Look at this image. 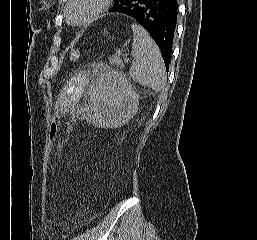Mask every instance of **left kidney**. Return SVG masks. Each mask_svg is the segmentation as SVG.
<instances>
[{"mask_svg":"<svg viewBox=\"0 0 257 240\" xmlns=\"http://www.w3.org/2000/svg\"><path fill=\"white\" fill-rule=\"evenodd\" d=\"M139 95L121 73L100 76L90 93L88 120L99 128H118L136 113Z\"/></svg>","mask_w":257,"mask_h":240,"instance_id":"1","label":"left kidney"}]
</instances>
